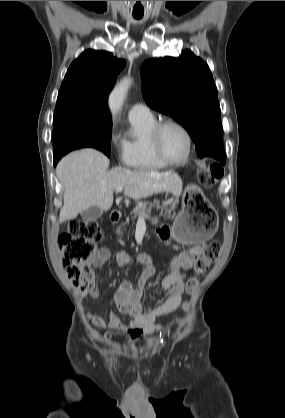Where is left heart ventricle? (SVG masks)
Here are the masks:
<instances>
[{
	"label": "left heart ventricle",
	"mask_w": 285,
	"mask_h": 418,
	"mask_svg": "<svg viewBox=\"0 0 285 418\" xmlns=\"http://www.w3.org/2000/svg\"><path fill=\"white\" fill-rule=\"evenodd\" d=\"M160 142L165 155L172 161L181 160L187 151V140L184 133L175 126L163 129Z\"/></svg>",
	"instance_id": "obj_1"
}]
</instances>
